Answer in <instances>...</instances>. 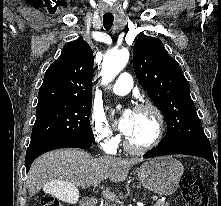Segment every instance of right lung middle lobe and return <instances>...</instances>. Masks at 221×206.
Listing matches in <instances>:
<instances>
[{
    "mask_svg": "<svg viewBox=\"0 0 221 206\" xmlns=\"http://www.w3.org/2000/svg\"><path fill=\"white\" fill-rule=\"evenodd\" d=\"M91 106L92 103L54 104L36 108L29 147L62 140L94 142L88 118Z\"/></svg>",
    "mask_w": 221,
    "mask_h": 206,
    "instance_id": "dd1d6c3e",
    "label": "right lung middle lobe"
}]
</instances>
